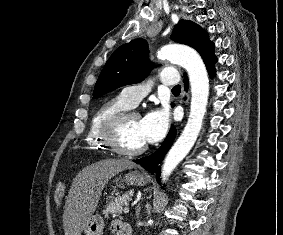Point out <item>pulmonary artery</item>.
Masks as SVG:
<instances>
[{
  "label": "pulmonary artery",
  "instance_id": "e3ab8cb5",
  "mask_svg": "<svg viewBox=\"0 0 283 235\" xmlns=\"http://www.w3.org/2000/svg\"><path fill=\"white\" fill-rule=\"evenodd\" d=\"M159 81L167 86H174L178 81V73L175 69H163L159 76ZM150 92L149 84H138L125 87L122 98L131 106H136Z\"/></svg>",
  "mask_w": 283,
  "mask_h": 235
}]
</instances>
